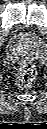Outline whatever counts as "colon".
Listing matches in <instances>:
<instances>
[{
    "mask_svg": "<svg viewBox=\"0 0 47 129\" xmlns=\"http://www.w3.org/2000/svg\"><path fill=\"white\" fill-rule=\"evenodd\" d=\"M36 68L30 62H23L18 69L17 83L21 88L32 85L36 78Z\"/></svg>",
    "mask_w": 47,
    "mask_h": 129,
    "instance_id": "1",
    "label": "colon"
}]
</instances>
